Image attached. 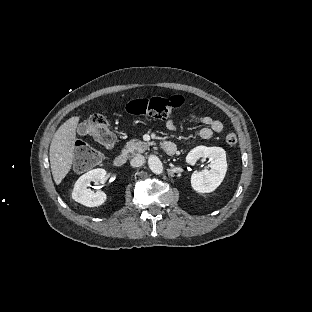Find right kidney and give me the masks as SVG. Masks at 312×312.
Instances as JSON below:
<instances>
[{"mask_svg": "<svg viewBox=\"0 0 312 312\" xmlns=\"http://www.w3.org/2000/svg\"><path fill=\"white\" fill-rule=\"evenodd\" d=\"M105 177L104 169H94L82 175L75 183L72 191V199L86 207H99L103 205L108 197L103 191L87 189L91 182H98Z\"/></svg>", "mask_w": 312, "mask_h": 312, "instance_id": "ca27d5eb", "label": "right kidney"}]
</instances>
